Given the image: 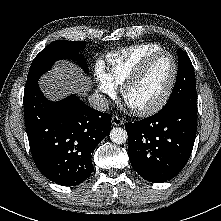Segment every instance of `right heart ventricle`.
I'll return each mask as SVG.
<instances>
[{"label": "right heart ventricle", "instance_id": "obj_1", "mask_svg": "<svg viewBox=\"0 0 221 221\" xmlns=\"http://www.w3.org/2000/svg\"><path fill=\"white\" fill-rule=\"evenodd\" d=\"M160 50L157 44L142 43L109 53L105 58L107 74L114 84L121 85L148 55Z\"/></svg>", "mask_w": 221, "mask_h": 221}]
</instances>
